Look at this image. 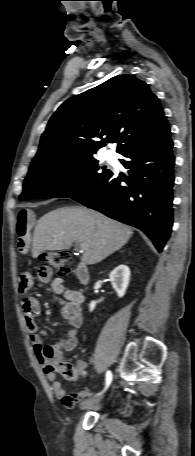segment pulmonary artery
I'll list each match as a JSON object with an SVG mask.
<instances>
[{
    "label": "pulmonary artery",
    "instance_id": "obj_1",
    "mask_svg": "<svg viewBox=\"0 0 195 456\" xmlns=\"http://www.w3.org/2000/svg\"><path fill=\"white\" fill-rule=\"evenodd\" d=\"M106 156H107V158H110V157H111L109 153H108Z\"/></svg>",
    "mask_w": 195,
    "mask_h": 456
}]
</instances>
